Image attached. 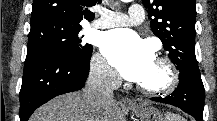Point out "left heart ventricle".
<instances>
[{
	"label": "left heart ventricle",
	"mask_w": 217,
	"mask_h": 121,
	"mask_svg": "<svg viewBox=\"0 0 217 121\" xmlns=\"http://www.w3.org/2000/svg\"><path fill=\"white\" fill-rule=\"evenodd\" d=\"M164 70L155 61L150 67L147 75L139 82L145 85H158L164 79Z\"/></svg>",
	"instance_id": "obj_1"
}]
</instances>
